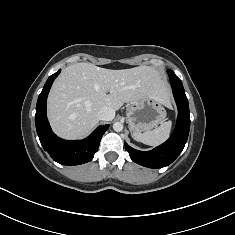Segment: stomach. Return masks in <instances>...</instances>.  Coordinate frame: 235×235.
<instances>
[{
	"label": "stomach",
	"mask_w": 235,
	"mask_h": 235,
	"mask_svg": "<svg viewBox=\"0 0 235 235\" xmlns=\"http://www.w3.org/2000/svg\"><path fill=\"white\" fill-rule=\"evenodd\" d=\"M167 112L164 105L153 96H144L127 105L126 116L133 134L149 131L162 123Z\"/></svg>",
	"instance_id": "0dacf381"
}]
</instances>
